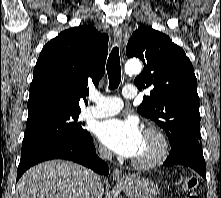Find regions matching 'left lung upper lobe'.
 <instances>
[{
  "instance_id": "5c2ea615",
  "label": "left lung upper lobe",
  "mask_w": 221,
  "mask_h": 198,
  "mask_svg": "<svg viewBox=\"0 0 221 198\" xmlns=\"http://www.w3.org/2000/svg\"><path fill=\"white\" fill-rule=\"evenodd\" d=\"M126 54L144 63L135 79L139 90L149 88L138 112L160 126L171 148L200 141L199 97L193 66L184 50L165 34L140 27L128 41Z\"/></svg>"
}]
</instances>
